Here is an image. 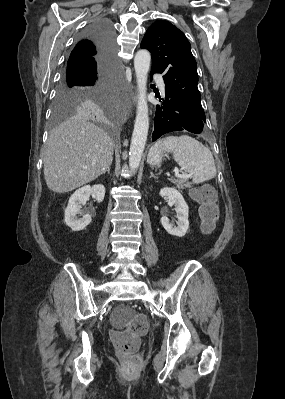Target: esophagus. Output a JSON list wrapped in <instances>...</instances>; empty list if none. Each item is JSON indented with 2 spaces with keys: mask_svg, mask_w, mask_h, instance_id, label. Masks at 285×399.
I'll list each match as a JSON object with an SVG mask.
<instances>
[{
  "mask_svg": "<svg viewBox=\"0 0 285 399\" xmlns=\"http://www.w3.org/2000/svg\"><path fill=\"white\" fill-rule=\"evenodd\" d=\"M137 102V96L133 97V103L135 104ZM131 112V110H129Z\"/></svg>",
  "mask_w": 285,
  "mask_h": 399,
  "instance_id": "esophagus-1",
  "label": "esophagus"
}]
</instances>
